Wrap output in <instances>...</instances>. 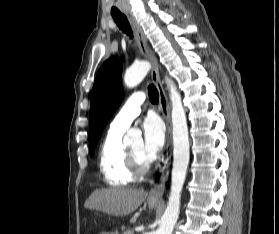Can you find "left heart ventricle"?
Here are the masks:
<instances>
[{
  "instance_id": "left-heart-ventricle-1",
  "label": "left heart ventricle",
  "mask_w": 279,
  "mask_h": 234,
  "mask_svg": "<svg viewBox=\"0 0 279 234\" xmlns=\"http://www.w3.org/2000/svg\"><path fill=\"white\" fill-rule=\"evenodd\" d=\"M142 160H147V156L144 152L142 140H138L129 146Z\"/></svg>"
}]
</instances>
